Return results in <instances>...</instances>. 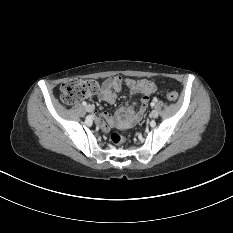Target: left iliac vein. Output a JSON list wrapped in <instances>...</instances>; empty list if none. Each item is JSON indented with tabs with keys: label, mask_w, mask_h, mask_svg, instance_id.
I'll return each instance as SVG.
<instances>
[{
	"label": "left iliac vein",
	"mask_w": 233,
	"mask_h": 233,
	"mask_svg": "<svg viewBox=\"0 0 233 233\" xmlns=\"http://www.w3.org/2000/svg\"><path fill=\"white\" fill-rule=\"evenodd\" d=\"M159 116V112L157 110H153L151 113H150V117L152 119H155Z\"/></svg>",
	"instance_id": "1"
}]
</instances>
